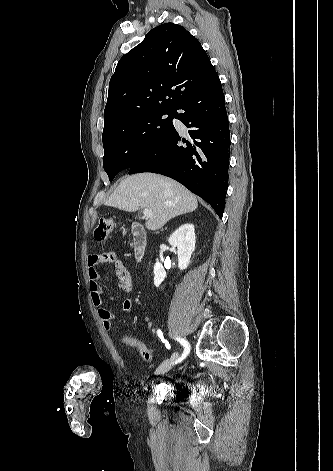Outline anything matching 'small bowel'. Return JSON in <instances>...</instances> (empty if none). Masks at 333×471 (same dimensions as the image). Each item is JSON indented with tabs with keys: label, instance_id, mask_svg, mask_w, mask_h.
<instances>
[{
	"label": "small bowel",
	"instance_id": "obj_1",
	"mask_svg": "<svg viewBox=\"0 0 333 471\" xmlns=\"http://www.w3.org/2000/svg\"><path fill=\"white\" fill-rule=\"evenodd\" d=\"M101 264L114 265V274L117 283L120 289L125 293H130L132 291L133 280L130 270L115 251H105L91 254L88 256L87 270L91 300L93 305L98 309V316L103 327L106 330H110L112 328V320L115 319L117 315L111 313L103 306V290L99 284L101 274L97 268ZM131 308V300L129 298H126L122 303L121 314L124 315L129 313Z\"/></svg>",
	"mask_w": 333,
	"mask_h": 471
}]
</instances>
